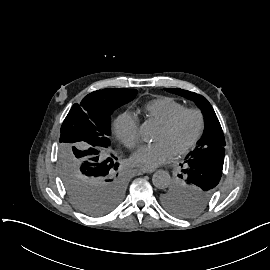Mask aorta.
<instances>
[{"label": "aorta", "instance_id": "obj_1", "mask_svg": "<svg viewBox=\"0 0 270 270\" xmlns=\"http://www.w3.org/2000/svg\"><path fill=\"white\" fill-rule=\"evenodd\" d=\"M152 183L158 189H165L170 185L171 177L168 172L158 170L153 174Z\"/></svg>", "mask_w": 270, "mask_h": 270}]
</instances>
